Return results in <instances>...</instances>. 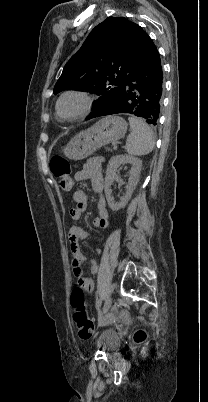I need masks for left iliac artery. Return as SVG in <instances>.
I'll list each match as a JSON object with an SVG mask.
<instances>
[{
    "mask_svg": "<svg viewBox=\"0 0 208 402\" xmlns=\"http://www.w3.org/2000/svg\"><path fill=\"white\" fill-rule=\"evenodd\" d=\"M101 306V300L99 299L98 301H97V307L99 308Z\"/></svg>",
    "mask_w": 208,
    "mask_h": 402,
    "instance_id": "left-iliac-artery-1",
    "label": "left iliac artery"
}]
</instances>
